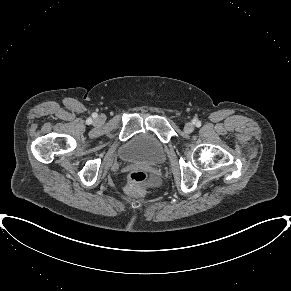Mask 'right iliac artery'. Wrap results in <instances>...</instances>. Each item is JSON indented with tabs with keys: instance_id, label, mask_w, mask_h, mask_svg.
<instances>
[{
	"instance_id": "obj_1",
	"label": "right iliac artery",
	"mask_w": 291,
	"mask_h": 291,
	"mask_svg": "<svg viewBox=\"0 0 291 291\" xmlns=\"http://www.w3.org/2000/svg\"><path fill=\"white\" fill-rule=\"evenodd\" d=\"M88 122H89V123H91V122H92V120H91V119H88Z\"/></svg>"
}]
</instances>
